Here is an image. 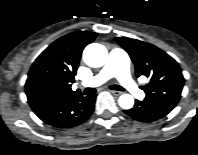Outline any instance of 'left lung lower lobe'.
I'll list each match as a JSON object with an SVG mask.
<instances>
[{
	"label": "left lung lower lobe",
	"mask_w": 198,
	"mask_h": 155,
	"mask_svg": "<svg viewBox=\"0 0 198 155\" xmlns=\"http://www.w3.org/2000/svg\"><path fill=\"white\" fill-rule=\"evenodd\" d=\"M177 104L167 101H135L132 109L125 110L135 120L152 122L166 116Z\"/></svg>",
	"instance_id": "0a47b994"
}]
</instances>
